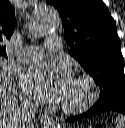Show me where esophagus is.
I'll return each mask as SVG.
<instances>
[{"label":"esophagus","instance_id":"obj_1","mask_svg":"<svg viewBox=\"0 0 125 128\" xmlns=\"http://www.w3.org/2000/svg\"><path fill=\"white\" fill-rule=\"evenodd\" d=\"M40 121L43 124L51 123V117L48 114H42L40 117Z\"/></svg>","mask_w":125,"mask_h":128}]
</instances>
